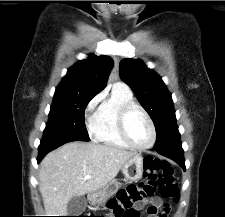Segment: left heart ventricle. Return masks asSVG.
<instances>
[{"mask_svg":"<svg viewBox=\"0 0 225 217\" xmlns=\"http://www.w3.org/2000/svg\"><path fill=\"white\" fill-rule=\"evenodd\" d=\"M127 129L133 143L139 146L151 141V129L145 116L139 110H134L128 117Z\"/></svg>","mask_w":225,"mask_h":217,"instance_id":"b2bd125f","label":"left heart ventricle"}]
</instances>
